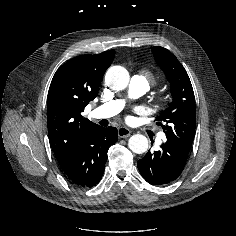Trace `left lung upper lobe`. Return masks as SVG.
Instances as JSON below:
<instances>
[{"label": "left lung upper lobe", "mask_w": 236, "mask_h": 236, "mask_svg": "<svg viewBox=\"0 0 236 236\" xmlns=\"http://www.w3.org/2000/svg\"><path fill=\"white\" fill-rule=\"evenodd\" d=\"M156 63L171 83L172 102L156 120L166 133L167 142L189 153L195 135V97L189 76L178 59L167 49L152 47Z\"/></svg>", "instance_id": "1"}]
</instances>
